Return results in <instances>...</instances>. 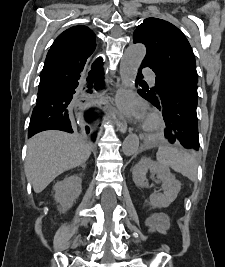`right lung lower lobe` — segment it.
<instances>
[{
	"mask_svg": "<svg viewBox=\"0 0 225 267\" xmlns=\"http://www.w3.org/2000/svg\"><path fill=\"white\" fill-rule=\"evenodd\" d=\"M93 52L72 47H52L48 51L40 74L37 104L30 119L28 137L50 129L73 132L69 119L70 106L77 88L82 85ZM89 75L88 92L91 93V83L102 77V63H93Z\"/></svg>",
	"mask_w": 225,
	"mask_h": 267,
	"instance_id": "obj_1",
	"label": "right lung lower lobe"
}]
</instances>
